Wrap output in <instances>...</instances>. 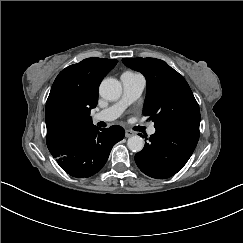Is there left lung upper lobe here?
Returning <instances> with one entry per match:
<instances>
[{
    "label": "left lung upper lobe",
    "mask_w": 243,
    "mask_h": 243,
    "mask_svg": "<svg viewBox=\"0 0 243 243\" xmlns=\"http://www.w3.org/2000/svg\"><path fill=\"white\" fill-rule=\"evenodd\" d=\"M122 62L145 76L147 93L143 114L154 121L156 129L186 127L199 130V105L182 75L155 58H124Z\"/></svg>",
    "instance_id": "5c2ea615"
}]
</instances>
